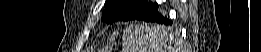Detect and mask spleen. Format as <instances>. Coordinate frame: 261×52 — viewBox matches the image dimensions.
Wrapping results in <instances>:
<instances>
[{
	"mask_svg": "<svg viewBox=\"0 0 261 52\" xmlns=\"http://www.w3.org/2000/svg\"><path fill=\"white\" fill-rule=\"evenodd\" d=\"M125 34L134 52H174L173 41L168 40L167 30L159 25H130Z\"/></svg>",
	"mask_w": 261,
	"mask_h": 52,
	"instance_id": "spleen-1",
	"label": "spleen"
}]
</instances>
